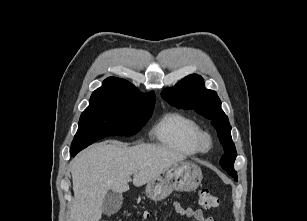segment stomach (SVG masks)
Listing matches in <instances>:
<instances>
[{"label":"stomach","mask_w":307,"mask_h":221,"mask_svg":"<svg viewBox=\"0 0 307 221\" xmlns=\"http://www.w3.org/2000/svg\"><path fill=\"white\" fill-rule=\"evenodd\" d=\"M202 172L198 165L181 161L163 170L146 185L148 198L159 201L168 197L173 190L194 191L201 183Z\"/></svg>","instance_id":"obj_1"}]
</instances>
